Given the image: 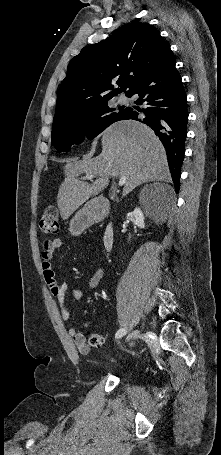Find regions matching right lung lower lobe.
Masks as SVG:
<instances>
[{
  "instance_id": "obj_1",
  "label": "right lung lower lobe",
  "mask_w": 221,
  "mask_h": 455,
  "mask_svg": "<svg viewBox=\"0 0 221 455\" xmlns=\"http://www.w3.org/2000/svg\"><path fill=\"white\" fill-rule=\"evenodd\" d=\"M175 63L174 54L167 50L128 96L138 95L136 103L146 105L145 109L138 110L145 118L138 119L140 113L129 108L123 119L141 121L154 130L166 149L169 169L178 192L188 111L186 93Z\"/></svg>"
}]
</instances>
